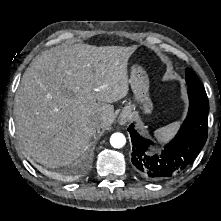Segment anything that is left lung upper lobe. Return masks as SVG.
<instances>
[{
    "instance_id": "5c2ea615",
    "label": "left lung upper lobe",
    "mask_w": 221,
    "mask_h": 221,
    "mask_svg": "<svg viewBox=\"0 0 221 221\" xmlns=\"http://www.w3.org/2000/svg\"><path fill=\"white\" fill-rule=\"evenodd\" d=\"M185 78H186V83L189 88L205 92L203 84L201 83L197 75L191 69L186 68Z\"/></svg>"
}]
</instances>
